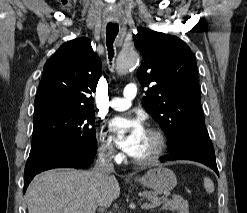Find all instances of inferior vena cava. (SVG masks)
<instances>
[{"mask_svg": "<svg viewBox=\"0 0 247 213\" xmlns=\"http://www.w3.org/2000/svg\"><path fill=\"white\" fill-rule=\"evenodd\" d=\"M113 155L114 150L109 146H102L99 149L98 159L93 170L100 178L107 179L114 172Z\"/></svg>", "mask_w": 247, "mask_h": 213, "instance_id": "1", "label": "inferior vena cava"}]
</instances>
